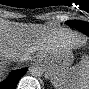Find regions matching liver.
Returning a JSON list of instances; mask_svg holds the SVG:
<instances>
[{
  "label": "liver",
  "mask_w": 89,
  "mask_h": 89,
  "mask_svg": "<svg viewBox=\"0 0 89 89\" xmlns=\"http://www.w3.org/2000/svg\"><path fill=\"white\" fill-rule=\"evenodd\" d=\"M80 39L72 34L63 37L57 29H48L40 24H18L5 22L0 27L1 65L8 53L15 55V61H24L29 55L56 52L60 47L73 49L79 46Z\"/></svg>",
  "instance_id": "6515ba94"
}]
</instances>
